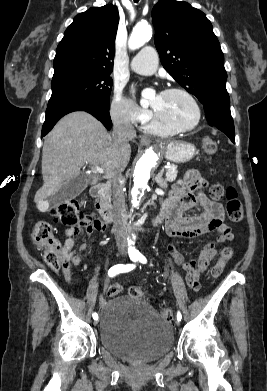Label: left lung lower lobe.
I'll use <instances>...</instances> for the list:
<instances>
[{
  "label": "left lung lower lobe",
  "instance_id": "1",
  "mask_svg": "<svg viewBox=\"0 0 267 391\" xmlns=\"http://www.w3.org/2000/svg\"><path fill=\"white\" fill-rule=\"evenodd\" d=\"M203 105L209 125L217 127L235 143L234 123L230 112L229 99L212 100Z\"/></svg>",
  "mask_w": 267,
  "mask_h": 391
}]
</instances>
